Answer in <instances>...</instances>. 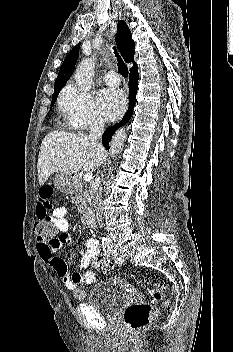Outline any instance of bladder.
<instances>
[{
	"mask_svg": "<svg viewBox=\"0 0 233 352\" xmlns=\"http://www.w3.org/2000/svg\"><path fill=\"white\" fill-rule=\"evenodd\" d=\"M126 293L114 281L97 283L87 297V303L105 315H114L124 303Z\"/></svg>",
	"mask_w": 233,
	"mask_h": 352,
	"instance_id": "obj_1",
	"label": "bladder"
}]
</instances>
